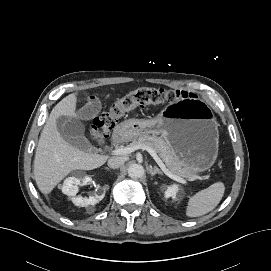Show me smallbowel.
Returning a JSON list of instances; mask_svg holds the SVG:
<instances>
[{"label": "small bowel", "mask_w": 271, "mask_h": 271, "mask_svg": "<svg viewBox=\"0 0 271 271\" xmlns=\"http://www.w3.org/2000/svg\"><path fill=\"white\" fill-rule=\"evenodd\" d=\"M99 107V100L96 97H91L83 107L74 111L69 120L60 119L58 121V128L62 135L74 145L83 146L84 137L79 122L94 117L98 113Z\"/></svg>", "instance_id": "obj_1"}]
</instances>
